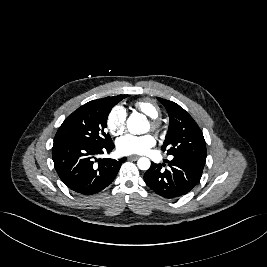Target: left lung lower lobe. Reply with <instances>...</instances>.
Instances as JSON below:
<instances>
[{
    "mask_svg": "<svg viewBox=\"0 0 267 267\" xmlns=\"http://www.w3.org/2000/svg\"><path fill=\"white\" fill-rule=\"evenodd\" d=\"M168 163V169L162 168L164 164H151L144 180L155 193L169 199L192 190L199 182L205 165L203 161L179 156H174Z\"/></svg>",
    "mask_w": 267,
    "mask_h": 267,
    "instance_id": "left-lung-lower-lobe-1",
    "label": "left lung lower lobe"
}]
</instances>
